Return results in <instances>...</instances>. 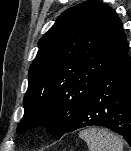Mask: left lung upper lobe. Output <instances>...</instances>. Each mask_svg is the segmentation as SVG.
<instances>
[{
	"label": "left lung upper lobe",
	"instance_id": "left-lung-upper-lobe-1",
	"mask_svg": "<svg viewBox=\"0 0 131 151\" xmlns=\"http://www.w3.org/2000/svg\"><path fill=\"white\" fill-rule=\"evenodd\" d=\"M38 46L18 130L45 123L62 136L100 75L128 53L127 40L114 10L88 0L64 11Z\"/></svg>",
	"mask_w": 131,
	"mask_h": 151
}]
</instances>
